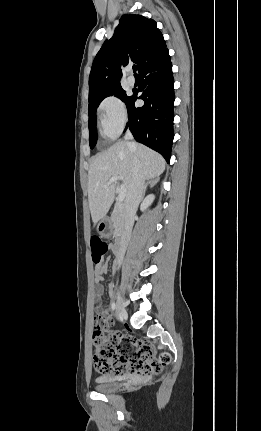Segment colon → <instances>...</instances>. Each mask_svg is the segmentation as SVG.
Returning <instances> with one entry per match:
<instances>
[{
	"instance_id": "obj_1",
	"label": "colon",
	"mask_w": 261,
	"mask_h": 431,
	"mask_svg": "<svg viewBox=\"0 0 261 431\" xmlns=\"http://www.w3.org/2000/svg\"><path fill=\"white\" fill-rule=\"evenodd\" d=\"M91 248L94 264H101L108 244L100 237L93 236ZM101 324V319L97 318L93 332L94 365L98 371L149 377L160 373L171 363L168 353L155 356L149 343L118 332H105Z\"/></svg>"
}]
</instances>
